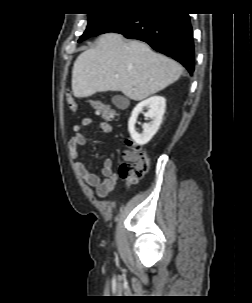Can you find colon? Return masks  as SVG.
<instances>
[{"label":"colon","instance_id":"5ec220e1","mask_svg":"<svg viewBox=\"0 0 252 303\" xmlns=\"http://www.w3.org/2000/svg\"><path fill=\"white\" fill-rule=\"evenodd\" d=\"M66 102L71 111L74 112L77 110V103L74 97L67 98ZM91 105L102 116L105 122H110L114 119L116 115L115 108L99 100H93ZM129 145L130 148L123 153V161L119 167V174L124 180L135 183L148 169V156L134 143L130 142Z\"/></svg>","mask_w":252,"mask_h":303}]
</instances>
